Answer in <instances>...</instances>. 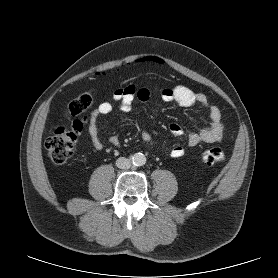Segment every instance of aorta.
Returning <instances> with one entry per match:
<instances>
[{
    "instance_id": "1",
    "label": "aorta",
    "mask_w": 278,
    "mask_h": 278,
    "mask_svg": "<svg viewBox=\"0 0 278 278\" xmlns=\"http://www.w3.org/2000/svg\"><path fill=\"white\" fill-rule=\"evenodd\" d=\"M134 166H142L146 163V157L143 153H135L131 157Z\"/></svg>"
}]
</instances>
